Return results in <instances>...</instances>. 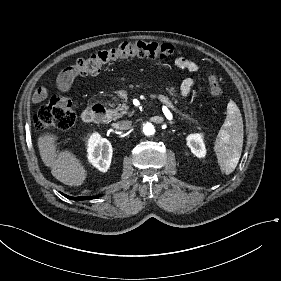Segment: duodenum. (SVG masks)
Listing matches in <instances>:
<instances>
[{
    "mask_svg": "<svg viewBox=\"0 0 281 281\" xmlns=\"http://www.w3.org/2000/svg\"><path fill=\"white\" fill-rule=\"evenodd\" d=\"M105 105L103 103H97L90 108L84 110L82 114V120L87 123L91 124L98 120H100L105 114Z\"/></svg>",
    "mask_w": 281,
    "mask_h": 281,
    "instance_id": "1",
    "label": "duodenum"
}]
</instances>
